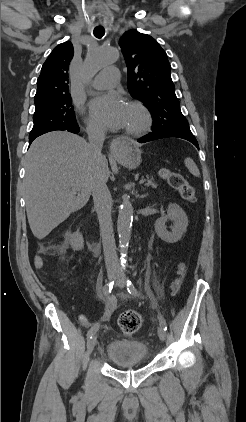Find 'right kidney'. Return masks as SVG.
<instances>
[{
  "instance_id": "ca27d5eb",
  "label": "right kidney",
  "mask_w": 246,
  "mask_h": 422,
  "mask_svg": "<svg viewBox=\"0 0 246 422\" xmlns=\"http://www.w3.org/2000/svg\"><path fill=\"white\" fill-rule=\"evenodd\" d=\"M68 240L71 244V247L74 250H82V248L84 247V239L82 234H80L78 231L69 235L68 236Z\"/></svg>"
}]
</instances>
